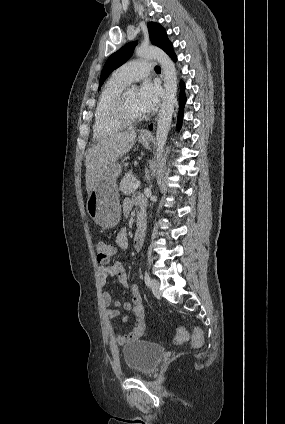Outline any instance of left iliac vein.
Wrapping results in <instances>:
<instances>
[{"instance_id": "obj_1", "label": "left iliac vein", "mask_w": 285, "mask_h": 424, "mask_svg": "<svg viewBox=\"0 0 285 424\" xmlns=\"http://www.w3.org/2000/svg\"><path fill=\"white\" fill-rule=\"evenodd\" d=\"M150 287H151V290H152V293L154 294V296L159 298L160 297L159 282L155 279H152L151 283H150Z\"/></svg>"}]
</instances>
